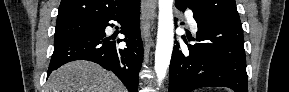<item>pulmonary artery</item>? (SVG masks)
I'll list each match as a JSON object with an SVG mask.
<instances>
[{
  "mask_svg": "<svg viewBox=\"0 0 289 92\" xmlns=\"http://www.w3.org/2000/svg\"><path fill=\"white\" fill-rule=\"evenodd\" d=\"M187 19H188V23H189L191 29L194 30V31L197 30V23H196V21L193 18L191 13L187 14Z\"/></svg>",
  "mask_w": 289,
  "mask_h": 92,
  "instance_id": "1",
  "label": "pulmonary artery"
}]
</instances>
